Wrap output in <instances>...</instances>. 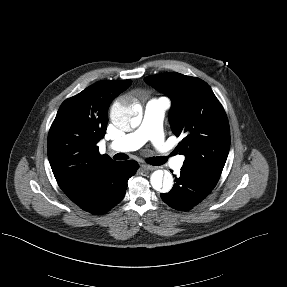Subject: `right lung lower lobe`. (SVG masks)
Returning <instances> with one entry per match:
<instances>
[{"label": "right lung lower lobe", "mask_w": 287, "mask_h": 287, "mask_svg": "<svg viewBox=\"0 0 287 287\" xmlns=\"http://www.w3.org/2000/svg\"><path fill=\"white\" fill-rule=\"evenodd\" d=\"M138 167L134 160L116 161L98 174L74 203L92 214L109 211L123 199L128 179L136 173Z\"/></svg>", "instance_id": "1"}]
</instances>
